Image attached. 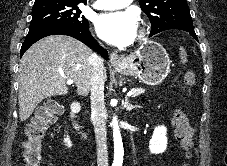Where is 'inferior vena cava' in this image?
Instances as JSON below:
<instances>
[{"mask_svg":"<svg viewBox=\"0 0 227 166\" xmlns=\"http://www.w3.org/2000/svg\"><path fill=\"white\" fill-rule=\"evenodd\" d=\"M93 70L91 76V115L97 144V166H108L106 141V121L104 103V82L106 71L103 59L93 55Z\"/></svg>","mask_w":227,"mask_h":166,"instance_id":"602c4592","label":"inferior vena cava"}]
</instances>
